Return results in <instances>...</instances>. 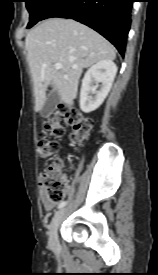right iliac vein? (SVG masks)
<instances>
[{"label":"right iliac vein","instance_id":"right-iliac-vein-1","mask_svg":"<svg viewBox=\"0 0 158 275\" xmlns=\"http://www.w3.org/2000/svg\"><path fill=\"white\" fill-rule=\"evenodd\" d=\"M65 209H60L58 210L50 224H49V243H50V246L52 248H57L59 246V240H58V227H59V224L65 214Z\"/></svg>","mask_w":158,"mask_h":275}]
</instances>
